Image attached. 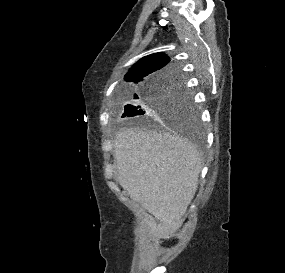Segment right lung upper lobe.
Segmentation results:
<instances>
[{"label":"right lung upper lobe","mask_w":285,"mask_h":273,"mask_svg":"<svg viewBox=\"0 0 285 273\" xmlns=\"http://www.w3.org/2000/svg\"><path fill=\"white\" fill-rule=\"evenodd\" d=\"M173 71L175 68L170 64V58L163 53H155L140 59L128 71L125 81L142 86L158 76H164Z\"/></svg>","instance_id":"right-lung-upper-lobe-1"}]
</instances>
